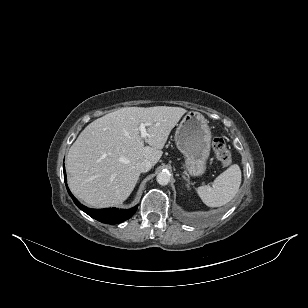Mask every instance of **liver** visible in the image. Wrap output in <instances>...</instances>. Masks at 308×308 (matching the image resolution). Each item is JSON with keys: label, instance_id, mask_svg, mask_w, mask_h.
Wrapping results in <instances>:
<instances>
[{"label": "liver", "instance_id": "obj_1", "mask_svg": "<svg viewBox=\"0 0 308 308\" xmlns=\"http://www.w3.org/2000/svg\"><path fill=\"white\" fill-rule=\"evenodd\" d=\"M187 112L181 107H125L90 123L69 149L66 166L72 193L88 206L105 208L124 202L140 172L136 164L152 166L162 156L171 130ZM147 128L144 145L139 125Z\"/></svg>", "mask_w": 308, "mask_h": 308}]
</instances>
